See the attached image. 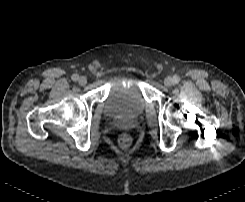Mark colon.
Segmentation results:
<instances>
[{
	"mask_svg": "<svg viewBox=\"0 0 245 202\" xmlns=\"http://www.w3.org/2000/svg\"><path fill=\"white\" fill-rule=\"evenodd\" d=\"M132 143V138L128 134H123L119 138V144L122 148H127L131 145Z\"/></svg>",
	"mask_w": 245,
	"mask_h": 202,
	"instance_id": "obj_1",
	"label": "colon"
}]
</instances>
